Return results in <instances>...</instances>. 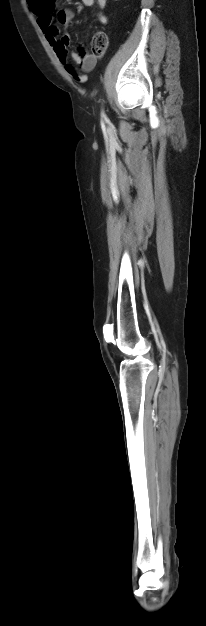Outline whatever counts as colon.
Listing matches in <instances>:
<instances>
[{
	"label": "colon",
	"mask_w": 206,
	"mask_h": 626,
	"mask_svg": "<svg viewBox=\"0 0 206 626\" xmlns=\"http://www.w3.org/2000/svg\"><path fill=\"white\" fill-rule=\"evenodd\" d=\"M107 48H108L107 35L102 31H98L97 33H95V35L92 38V42H91L92 54L95 57H102L106 53ZM81 80L82 82H84L86 80V76H81Z\"/></svg>",
	"instance_id": "5ec220e1"
}]
</instances>
